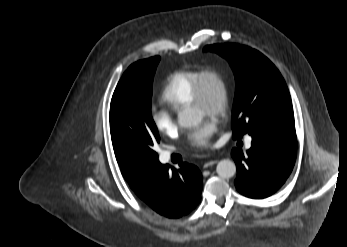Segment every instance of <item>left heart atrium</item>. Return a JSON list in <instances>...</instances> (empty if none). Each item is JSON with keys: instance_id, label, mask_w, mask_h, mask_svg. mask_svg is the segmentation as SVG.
<instances>
[{"instance_id": "39dd6f15", "label": "left heart atrium", "mask_w": 347, "mask_h": 247, "mask_svg": "<svg viewBox=\"0 0 347 247\" xmlns=\"http://www.w3.org/2000/svg\"><path fill=\"white\" fill-rule=\"evenodd\" d=\"M217 130L218 124L215 119H204L189 133V144L196 148H205L210 145L211 138L217 132Z\"/></svg>"}]
</instances>
